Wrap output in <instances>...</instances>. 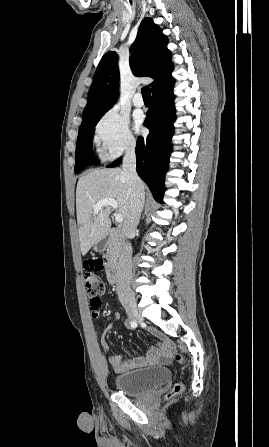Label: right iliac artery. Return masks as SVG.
Segmentation results:
<instances>
[{
  "label": "right iliac artery",
  "instance_id": "right-iliac-artery-1",
  "mask_svg": "<svg viewBox=\"0 0 269 447\" xmlns=\"http://www.w3.org/2000/svg\"><path fill=\"white\" fill-rule=\"evenodd\" d=\"M131 326H132V327H136V326H137V323H136L135 321H132V322H131Z\"/></svg>",
  "mask_w": 269,
  "mask_h": 447
}]
</instances>
